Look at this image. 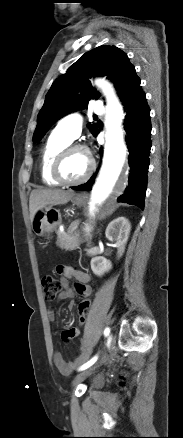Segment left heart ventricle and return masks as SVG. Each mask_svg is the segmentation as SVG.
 <instances>
[{
    "label": "left heart ventricle",
    "instance_id": "obj_1",
    "mask_svg": "<svg viewBox=\"0 0 183 438\" xmlns=\"http://www.w3.org/2000/svg\"><path fill=\"white\" fill-rule=\"evenodd\" d=\"M89 167V160L85 152L76 150L65 159L61 174L67 181H75L82 178Z\"/></svg>",
    "mask_w": 183,
    "mask_h": 438
}]
</instances>
